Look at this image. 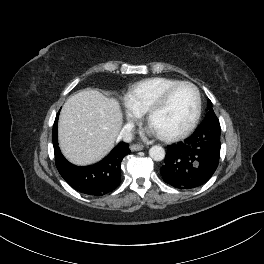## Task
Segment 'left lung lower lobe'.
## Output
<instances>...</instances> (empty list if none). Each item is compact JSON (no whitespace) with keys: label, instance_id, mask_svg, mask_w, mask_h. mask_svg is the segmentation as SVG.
Listing matches in <instances>:
<instances>
[{"label":"left lung lower lobe","instance_id":"1","mask_svg":"<svg viewBox=\"0 0 264 264\" xmlns=\"http://www.w3.org/2000/svg\"><path fill=\"white\" fill-rule=\"evenodd\" d=\"M220 133V124L203 121L187 140L169 146L160 168L164 181L179 189L206 183L219 163Z\"/></svg>","mask_w":264,"mask_h":264}]
</instances>
